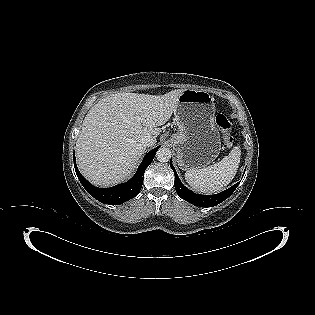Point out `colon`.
I'll list each match as a JSON object with an SVG mask.
<instances>
[{
	"label": "colon",
	"mask_w": 315,
	"mask_h": 315,
	"mask_svg": "<svg viewBox=\"0 0 315 315\" xmlns=\"http://www.w3.org/2000/svg\"><path fill=\"white\" fill-rule=\"evenodd\" d=\"M215 123L218 128L225 133L224 144L226 147L231 148L234 146L235 141L230 135L231 122L224 114H218L215 118Z\"/></svg>",
	"instance_id": "5ec220e1"
}]
</instances>
